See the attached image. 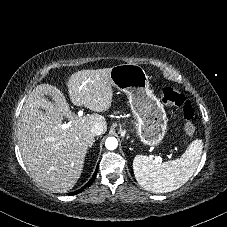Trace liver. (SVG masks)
Returning <instances> with one entry per match:
<instances>
[{
    "instance_id": "obj_1",
    "label": "liver",
    "mask_w": 227,
    "mask_h": 227,
    "mask_svg": "<svg viewBox=\"0 0 227 227\" xmlns=\"http://www.w3.org/2000/svg\"><path fill=\"white\" fill-rule=\"evenodd\" d=\"M110 71L103 68L72 74L67 85L72 103L94 112L108 110L113 99ZM64 118L69 120V127L63 129ZM96 123L107 129L100 114L78 117L73 113L57 87L36 86L24 103L18 124L20 151L31 177L54 193L71 190L81 176L87 150L95 141L91 128Z\"/></svg>"
}]
</instances>
